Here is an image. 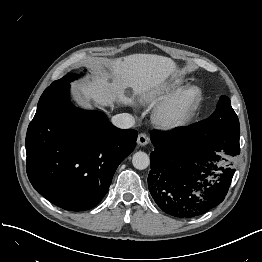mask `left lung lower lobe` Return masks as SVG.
I'll list each match as a JSON object with an SVG mask.
<instances>
[{
    "label": "left lung lower lobe",
    "instance_id": "1",
    "mask_svg": "<svg viewBox=\"0 0 262 262\" xmlns=\"http://www.w3.org/2000/svg\"><path fill=\"white\" fill-rule=\"evenodd\" d=\"M240 131L206 133L191 127L175 133L153 131L148 188L167 214L192 218L220 204L240 153Z\"/></svg>",
    "mask_w": 262,
    "mask_h": 262
}]
</instances>
